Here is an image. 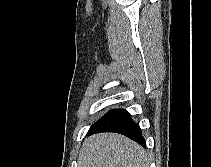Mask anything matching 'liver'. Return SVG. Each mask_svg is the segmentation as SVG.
I'll use <instances>...</instances> for the list:
<instances>
[{"label":"liver","mask_w":211,"mask_h":167,"mask_svg":"<svg viewBox=\"0 0 211 167\" xmlns=\"http://www.w3.org/2000/svg\"><path fill=\"white\" fill-rule=\"evenodd\" d=\"M78 167H149L144 148L127 137L101 133L86 138Z\"/></svg>","instance_id":"1"}]
</instances>
